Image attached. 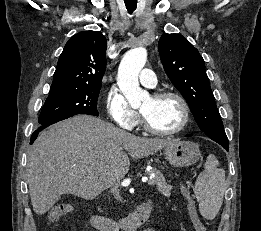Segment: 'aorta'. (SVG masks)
<instances>
[{"mask_svg": "<svg viewBox=\"0 0 261 231\" xmlns=\"http://www.w3.org/2000/svg\"><path fill=\"white\" fill-rule=\"evenodd\" d=\"M147 60V51L139 47L128 51L118 69L117 82L120 90L132 107H137L149 97L147 91L140 88L138 75Z\"/></svg>", "mask_w": 261, "mask_h": 231, "instance_id": "762f6f07", "label": "aorta"}]
</instances>
